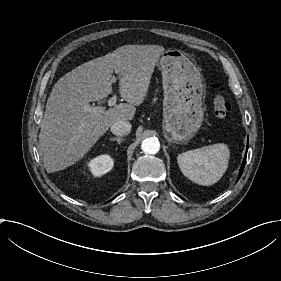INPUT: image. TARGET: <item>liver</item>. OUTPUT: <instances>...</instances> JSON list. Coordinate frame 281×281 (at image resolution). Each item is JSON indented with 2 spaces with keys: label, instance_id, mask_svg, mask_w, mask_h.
I'll list each match as a JSON object with an SVG mask.
<instances>
[{
  "label": "liver",
  "instance_id": "obj_1",
  "mask_svg": "<svg viewBox=\"0 0 281 281\" xmlns=\"http://www.w3.org/2000/svg\"><path fill=\"white\" fill-rule=\"evenodd\" d=\"M163 51L160 45H123L58 79L48 97L39 133L47 172L74 163L113 124L133 118L135 105L142 103L153 67ZM113 69L118 75V93L127 103H119L103 114H88L86 104L113 93Z\"/></svg>",
  "mask_w": 281,
  "mask_h": 281
}]
</instances>
